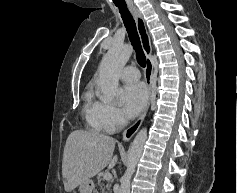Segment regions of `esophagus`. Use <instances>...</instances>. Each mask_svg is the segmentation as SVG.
<instances>
[{"label":"esophagus","instance_id":"34e87169","mask_svg":"<svg viewBox=\"0 0 237 193\" xmlns=\"http://www.w3.org/2000/svg\"><path fill=\"white\" fill-rule=\"evenodd\" d=\"M129 10L132 13V15L136 21L137 30H138V33L140 36L141 44H142L143 50H144L146 57H147L145 81H146V85L148 88V98H147L145 108L142 111L139 118L130 127H128L124 131V133H123V141L124 142H128L135 135V133L140 128V126H141V124L148 112L150 100H151V95H152V73H153V65H152V61L150 59V56L152 54V47H151L150 36H149L148 30L146 27L145 20H144L142 14L140 13V11L135 6H130Z\"/></svg>","mask_w":237,"mask_h":193}]
</instances>
